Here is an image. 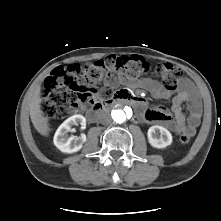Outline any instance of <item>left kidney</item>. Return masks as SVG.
Segmentation results:
<instances>
[{
  "label": "left kidney",
  "mask_w": 221,
  "mask_h": 221,
  "mask_svg": "<svg viewBox=\"0 0 221 221\" xmlns=\"http://www.w3.org/2000/svg\"><path fill=\"white\" fill-rule=\"evenodd\" d=\"M147 136L148 142L155 148H165L172 143L171 133L162 126H151L148 129Z\"/></svg>",
  "instance_id": "5707ae66"
}]
</instances>
